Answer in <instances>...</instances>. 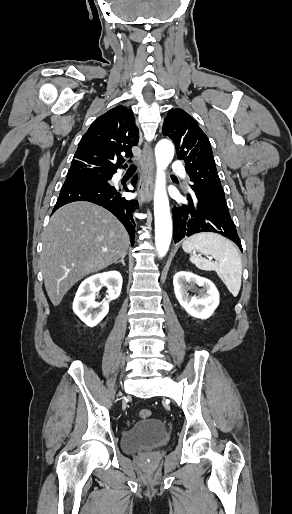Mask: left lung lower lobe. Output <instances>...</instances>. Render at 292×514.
Masks as SVG:
<instances>
[{"label":"left lung lower lobe","mask_w":292,"mask_h":514,"mask_svg":"<svg viewBox=\"0 0 292 514\" xmlns=\"http://www.w3.org/2000/svg\"><path fill=\"white\" fill-rule=\"evenodd\" d=\"M174 242L199 232L219 233L234 241L242 250L225 199L203 198L188 194L187 203L173 208Z\"/></svg>","instance_id":"obj_1"}]
</instances>
